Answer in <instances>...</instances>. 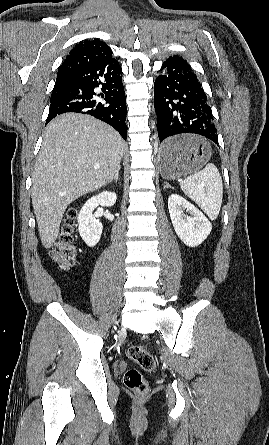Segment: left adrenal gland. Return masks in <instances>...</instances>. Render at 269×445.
Segmentation results:
<instances>
[{"label":"left adrenal gland","instance_id":"a2214340","mask_svg":"<svg viewBox=\"0 0 269 445\" xmlns=\"http://www.w3.org/2000/svg\"><path fill=\"white\" fill-rule=\"evenodd\" d=\"M164 188H172L168 183H165Z\"/></svg>","mask_w":269,"mask_h":445}]
</instances>
